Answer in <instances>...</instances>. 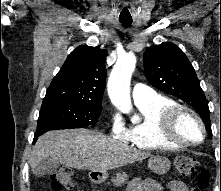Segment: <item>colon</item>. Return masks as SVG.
<instances>
[{
    "instance_id": "colon-1",
    "label": "colon",
    "mask_w": 221,
    "mask_h": 191,
    "mask_svg": "<svg viewBox=\"0 0 221 191\" xmlns=\"http://www.w3.org/2000/svg\"><path fill=\"white\" fill-rule=\"evenodd\" d=\"M178 172L182 176H189L199 170V161L193 157H178L175 160ZM210 174L207 170H201L198 175L197 184L191 191H203L208 186ZM73 186V173L70 169L61 168L51 175V188L53 191L71 189Z\"/></svg>"
}]
</instances>
